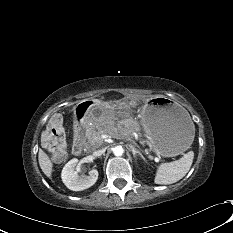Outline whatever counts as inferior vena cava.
Returning a JSON list of instances; mask_svg holds the SVG:
<instances>
[{"label":"inferior vena cava","mask_w":233,"mask_h":233,"mask_svg":"<svg viewBox=\"0 0 233 233\" xmlns=\"http://www.w3.org/2000/svg\"><path fill=\"white\" fill-rule=\"evenodd\" d=\"M105 151H106V149L103 148V149H100V150L95 151V152L93 153V155H94L95 157H99V156H101L102 154H104Z\"/></svg>","instance_id":"inferior-vena-cava-1"}]
</instances>
